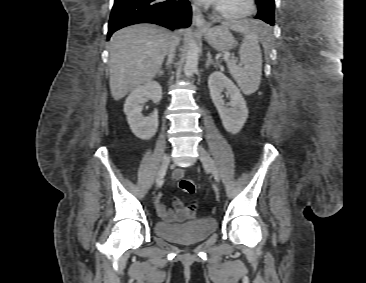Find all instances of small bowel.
Returning a JSON list of instances; mask_svg holds the SVG:
<instances>
[{
    "label": "small bowel",
    "mask_w": 366,
    "mask_h": 283,
    "mask_svg": "<svg viewBox=\"0 0 366 283\" xmlns=\"http://www.w3.org/2000/svg\"><path fill=\"white\" fill-rule=\"evenodd\" d=\"M183 176L184 170L180 168L176 169L172 174V178L176 181L180 180ZM156 207L158 214L168 221L183 220L187 216L186 211L179 200H175V212L168 209L166 204L162 201L161 196H158L156 199Z\"/></svg>",
    "instance_id": "c3829d8e"
}]
</instances>
